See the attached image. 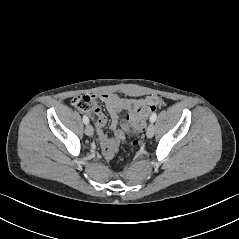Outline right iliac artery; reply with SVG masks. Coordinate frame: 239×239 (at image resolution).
<instances>
[{"label": "right iliac artery", "mask_w": 239, "mask_h": 239, "mask_svg": "<svg viewBox=\"0 0 239 239\" xmlns=\"http://www.w3.org/2000/svg\"><path fill=\"white\" fill-rule=\"evenodd\" d=\"M83 122H84L85 124H88V123H89V119H88V117H87L86 115L83 116Z\"/></svg>", "instance_id": "1"}]
</instances>
